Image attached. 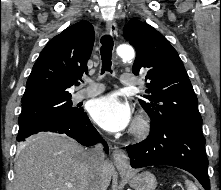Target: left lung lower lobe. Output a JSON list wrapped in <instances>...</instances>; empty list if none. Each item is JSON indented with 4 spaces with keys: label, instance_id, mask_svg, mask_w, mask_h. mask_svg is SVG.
I'll list each match as a JSON object with an SVG mask.
<instances>
[{
    "label": "left lung lower lobe",
    "instance_id": "left-lung-lower-lobe-1",
    "mask_svg": "<svg viewBox=\"0 0 221 190\" xmlns=\"http://www.w3.org/2000/svg\"><path fill=\"white\" fill-rule=\"evenodd\" d=\"M133 168L170 165L190 172L210 190L205 138L180 124L161 121L151 124L144 141L127 147Z\"/></svg>",
    "mask_w": 221,
    "mask_h": 190
}]
</instances>
